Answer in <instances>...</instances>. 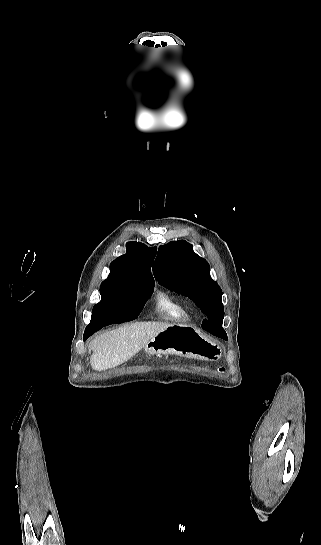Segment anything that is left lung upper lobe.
<instances>
[{"instance_id":"left-lung-upper-lobe-1","label":"left lung upper lobe","mask_w":321,"mask_h":545,"mask_svg":"<svg viewBox=\"0 0 321 545\" xmlns=\"http://www.w3.org/2000/svg\"><path fill=\"white\" fill-rule=\"evenodd\" d=\"M153 272L160 285L188 296L206 316L217 313L224 317L222 290L210 277L207 261L191 244L180 240L160 246Z\"/></svg>"}]
</instances>
